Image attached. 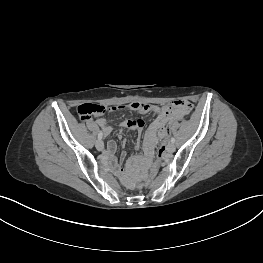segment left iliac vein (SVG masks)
<instances>
[{"mask_svg": "<svg viewBox=\"0 0 263 263\" xmlns=\"http://www.w3.org/2000/svg\"><path fill=\"white\" fill-rule=\"evenodd\" d=\"M167 151L169 152V153H173L174 151H175V145H174V143H169L168 145H167Z\"/></svg>", "mask_w": 263, "mask_h": 263, "instance_id": "1", "label": "left iliac vein"}]
</instances>
